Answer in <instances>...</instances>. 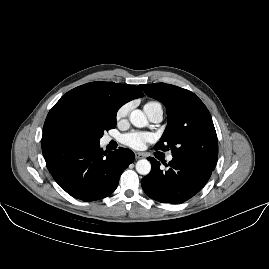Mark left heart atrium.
Wrapping results in <instances>:
<instances>
[{
    "instance_id": "left-heart-atrium-1",
    "label": "left heart atrium",
    "mask_w": 269,
    "mask_h": 269,
    "mask_svg": "<svg viewBox=\"0 0 269 269\" xmlns=\"http://www.w3.org/2000/svg\"><path fill=\"white\" fill-rule=\"evenodd\" d=\"M154 140V136L149 133L130 132L124 134L121 141L124 145L134 150H142L146 145Z\"/></svg>"
}]
</instances>
